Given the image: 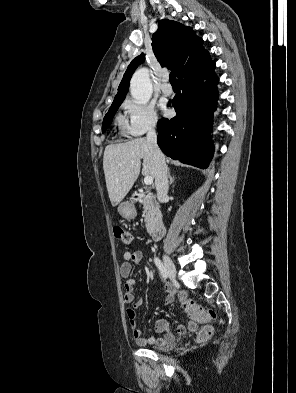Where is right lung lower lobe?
Returning <instances> with one entry per match:
<instances>
[{
	"label": "right lung lower lobe",
	"instance_id": "obj_1",
	"mask_svg": "<svg viewBox=\"0 0 296 393\" xmlns=\"http://www.w3.org/2000/svg\"><path fill=\"white\" fill-rule=\"evenodd\" d=\"M214 68L215 63L205 50L178 75L182 92L172 100L176 116L158 121L157 142L161 150L172 159L203 169L208 167L214 152L209 141L218 98Z\"/></svg>",
	"mask_w": 296,
	"mask_h": 393
}]
</instances>
